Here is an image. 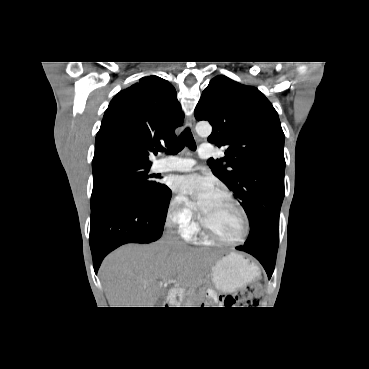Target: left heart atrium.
<instances>
[{"label": "left heart atrium", "mask_w": 369, "mask_h": 369, "mask_svg": "<svg viewBox=\"0 0 369 369\" xmlns=\"http://www.w3.org/2000/svg\"><path fill=\"white\" fill-rule=\"evenodd\" d=\"M174 189L185 197L189 204L203 210L208 201L216 194L212 181L197 174L179 176L174 180Z\"/></svg>", "instance_id": "1"}]
</instances>
